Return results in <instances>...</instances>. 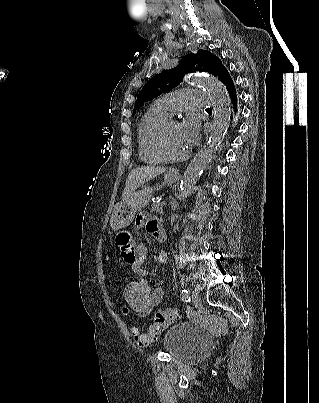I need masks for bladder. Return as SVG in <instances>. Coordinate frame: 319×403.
I'll list each match as a JSON object with an SVG mask.
<instances>
[{
    "mask_svg": "<svg viewBox=\"0 0 319 403\" xmlns=\"http://www.w3.org/2000/svg\"><path fill=\"white\" fill-rule=\"evenodd\" d=\"M210 344V336L205 331L185 322L171 326L162 337L165 352L188 364L202 360Z\"/></svg>",
    "mask_w": 319,
    "mask_h": 403,
    "instance_id": "obj_1",
    "label": "bladder"
}]
</instances>
